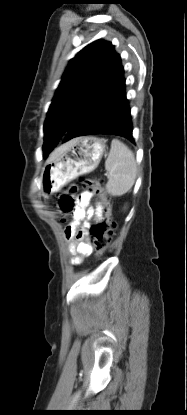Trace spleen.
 <instances>
[{"label": "spleen", "instance_id": "1", "mask_svg": "<svg viewBox=\"0 0 187 415\" xmlns=\"http://www.w3.org/2000/svg\"><path fill=\"white\" fill-rule=\"evenodd\" d=\"M105 169L109 172L106 190L111 196H122L134 185L137 163L133 152L118 139H113Z\"/></svg>", "mask_w": 187, "mask_h": 415}]
</instances>
